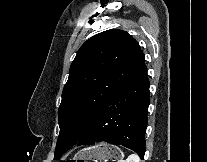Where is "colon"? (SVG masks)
I'll return each instance as SVG.
<instances>
[{
    "label": "colon",
    "instance_id": "obj_1",
    "mask_svg": "<svg viewBox=\"0 0 207 162\" xmlns=\"http://www.w3.org/2000/svg\"><path fill=\"white\" fill-rule=\"evenodd\" d=\"M63 162H88V161H85V160H73V159H71V160H65Z\"/></svg>",
    "mask_w": 207,
    "mask_h": 162
}]
</instances>
